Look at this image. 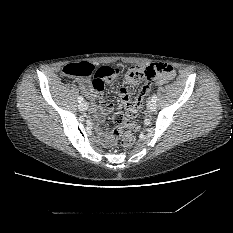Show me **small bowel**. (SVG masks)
Returning <instances> with one entry per match:
<instances>
[{"mask_svg": "<svg viewBox=\"0 0 233 233\" xmlns=\"http://www.w3.org/2000/svg\"><path fill=\"white\" fill-rule=\"evenodd\" d=\"M116 68L112 67V72L105 75L100 82H93V86L95 88V91L92 92L90 89V81L87 78H77V82L82 89V91L90 98H93L97 101L94 111L95 113L102 117L104 115L110 114L114 110V105L110 102L106 101L103 96V90L105 87V84L109 82L115 75H116ZM168 80V77L165 75H161L156 79L155 84L157 86L164 85ZM124 82L129 85H136L138 83V80L129 76L124 77ZM149 91V85H143L140 89L138 95L136 96L134 102L129 101V91L127 87L122 86L119 89V97L121 99V104L123 106H126L127 104H131L134 108L137 110L140 108L143 99L147 92ZM100 139L103 142H108L110 140L109 135L107 132L100 131L99 132Z\"/></svg>", "mask_w": 233, "mask_h": 233, "instance_id": "1", "label": "small bowel"}]
</instances>
